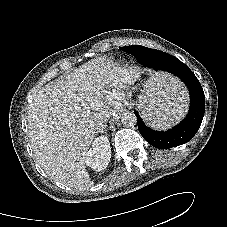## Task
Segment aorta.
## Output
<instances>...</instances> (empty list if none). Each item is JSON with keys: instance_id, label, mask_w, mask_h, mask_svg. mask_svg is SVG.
<instances>
[{"instance_id": "1", "label": "aorta", "mask_w": 227, "mask_h": 227, "mask_svg": "<svg viewBox=\"0 0 227 227\" xmlns=\"http://www.w3.org/2000/svg\"><path fill=\"white\" fill-rule=\"evenodd\" d=\"M120 119H121V123L127 127H132V126L136 125V123H137V117L131 111L124 112L121 115Z\"/></svg>"}]
</instances>
